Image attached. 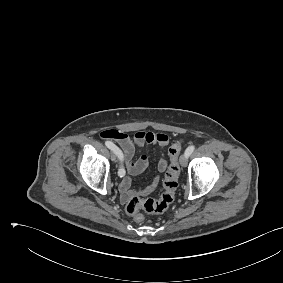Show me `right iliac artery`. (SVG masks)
I'll return each instance as SVG.
<instances>
[{"instance_id": "right-iliac-artery-1", "label": "right iliac artery", "mask_w": 283, "mask_h": 283, "mask_svg": "<svg viewBox=\"0 0 283 283\" xmlns=\"http://www.w3.org/2000/svg\"><path fill=\"white\" fill-rule=\"evenodd\" d=\"M105 145L112 150L117 157L119 158V160L121 161V157H122V153L121 150L111 141H106ZM125 174V171L123 170V168L120 166L119 170H118V175L119 176H123Z\"/></svg>"}]
</instances>
